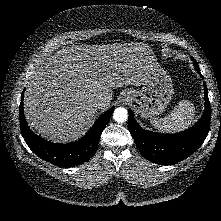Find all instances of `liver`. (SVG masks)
<instances>
[{"instance_id":"liver-1","label":"liver","mask_w":221,"mask_h":221,"mask_svg":"<svg viewBox=\"0 0 221 221\" xmlns=\"http://www.w3.org/2000/svg\"><path fill=\"white\" fill-rule=\"evenodd\" d=\"M158 65L144 43L76 45L62 48L32 72L24 94L29 126L42 137L67 143L84 135L98 110L106 109L112 88L140 86Z\"/></svg>"}]
</instances>
